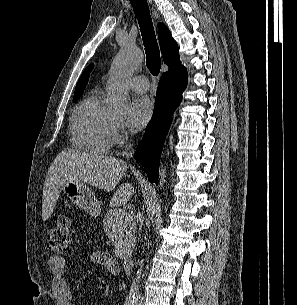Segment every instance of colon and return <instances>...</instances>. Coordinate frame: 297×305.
Listing matches in <instances>:
<instances>
[{
    "mask_svg": "<svg viewBox=\"0 0 297 305\" xmlns=\"http://www.w3.org/2000/svg\"><path fill=\"white\" fill-rule=\"evenodd\" d=\"M71 220L68 216H60L51 229L47 251L50 255H66L70 249Z\"/></svg>",
    "mask_w": 297,
    "mask_h": 305,
    "instance_id": "1",
    "label": "colon"
}]
</instances>
